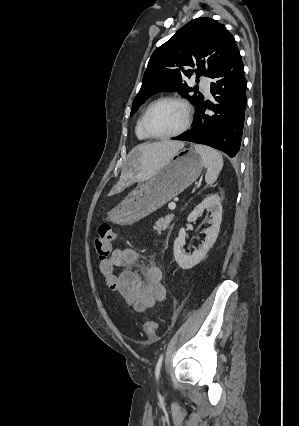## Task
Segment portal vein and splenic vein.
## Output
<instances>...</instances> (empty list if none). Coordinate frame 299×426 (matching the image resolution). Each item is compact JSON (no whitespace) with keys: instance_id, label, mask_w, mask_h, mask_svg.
<instances>
[{"instance_id":"portal-vein-and-splenic-vein-1","label":"portal vein and splenic vein","mask_w":299,"mask_h":426,"mask_svg":"<svg viewBox=\"0 0 299 426\" xmlns=\"http://www.w3.org/2000/svg\"><path fill=\"white\" fill-rule=\"evenodd\" d=\"M168 207H169L170 210H174L176 208V203L171 202V203H169Z\"/></svg>"}]
</instances>
